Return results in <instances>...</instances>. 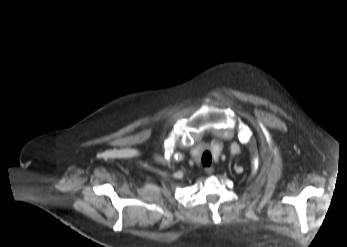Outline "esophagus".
Masks as SVG:
<instances>
[{"label":"esophagus","mask_w":347,"mask_h":247,"mask_svg":"<svg viewBox=\"0 0 347 247\" xmlns=\"http://www.w3.org/2000/svg\"><path fill=\"white\" fill-rule=\"evenodd\" d=\"M214 172V168L213 167H206L205 168V173L208 174V175H211L213 174Z\"/></svg>","instance_id":"1"}]
</instances>
